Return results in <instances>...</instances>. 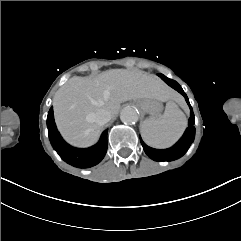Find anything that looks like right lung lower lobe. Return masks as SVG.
<instances>
[{
  "instance_id": "1",
  "label": "right lung lower lobe",
  "mask_w": 241,
  "mask_h": 241,
  "mask_svg": "<svg viewBox=\"0 0 241 241\" xmlns=\"http://www.w3.org/2000/svg\"><path fill=\"white\" fill-rule=\"evenodd\" d=\"M49 139L59 156L68 164L78 168H89L97 165L104 158L107 151V130H105L99 142L92 147L81 149L67 144L56 128L53 109L47 116Z\"/></svg>"
}]
</instances>
